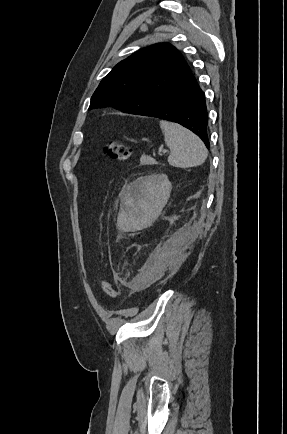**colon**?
Returning a JSON list of instances; mask_svg holds the SVG:
<instances>
[{
    "label": "colon",
    "mask_w": 287,
    "mask_h": 434,
    "mask_svg": "<svg viewBox=\"0 0 287 434\" xmlns=\"http://www.w3.org/2000/svg\"><path fill=\"white\" fill-rule=\"evenodd\" d=\"M104 152L111 159L119 161L127 160L131 156L130 147L118 141L108 142L104 148ZM102 291L108 299H113L116 295V289L108 279L102 282Z\"/></svg>",
    "instance_id": "1"
}]
</instances>
